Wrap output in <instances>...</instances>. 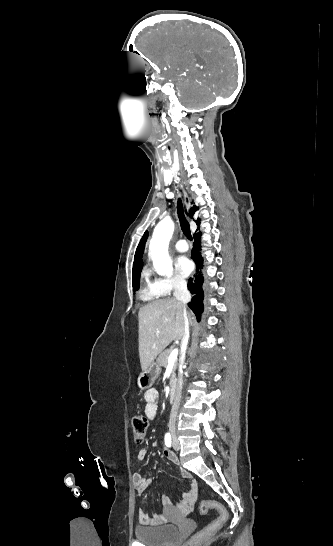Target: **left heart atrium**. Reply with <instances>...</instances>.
<instances>
[{
  "label": "left heart atrium",
  "mask_w": 333,
  "mask_h": 546,
  "mask_svg": "<svg viewBox=\"0 0 333 546\" xmlns=\"http://www.w3.org/2000/svg\"><path fill=\"white\" fill-rule=\"evenodd\" d=\"M176 267L181 275L187 276L192 270V263L186 256H180L177 259Z\"/></svg>",
  "instance_id": "left-heart-atrium-1"
}]
</instances>
